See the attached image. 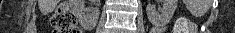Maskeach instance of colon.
<instances>
[{"mask_svg": "<svg viewBox=\"0 0 235 33\" xmlns=\"http://www.w3.org/2000/svg\"><path fill=\"white\" fill-rule=\"evenodd\" d=\"M51 23L54 33H80L74 14L65 4L56 9ZM194 31V26L188 20L182 18L176 22L173 33H193Z\"/></svg>", "mask_w": 235, "mask_h": 33, "instance_id": "1", "label": "colon"}]
</instances>
